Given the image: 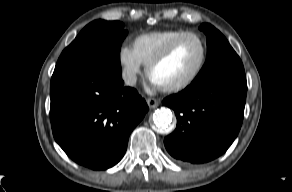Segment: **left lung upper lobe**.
I'll list each match as a JSON object with an SVG mask.
<instances>
[{
  "label": "left lung upper lobe",
  "instance_id": "5c2ea615",
  "mask_svg": "<svg viewBox=\"0 0 292 192\" xmlns=\"http://www.w3.org/2000/svg\"><path fill=\"white\" fill-rule=\"evenodd\" d=\"M207 37V60L193 82L222 75H245L243 64L226 38L211 24L200 26Z\"/></svg>",
  "mask_w": 292,
  "mask_h": 192
}]
</instances>
